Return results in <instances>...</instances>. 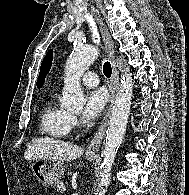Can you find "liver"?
I'll return each instance as SVG.
<instances>
[{
    "instance_id": "obj_1",
    "label": "liver",
    "mask_w": 189,
    "mask_h": 195,
    "mask_svg": "<svg viewBox=\"0 0 189 195\" xmlns=\"http://www.w3.org/2000/svg\"><path fill=\"white\" fill-rule=\"evenodd\" d=\"M83 153V148L68 142L51 138H34L27 144L24 157L28 161L54 159L70 162L82 156Z\"/></svg>"
}]
</instances>
